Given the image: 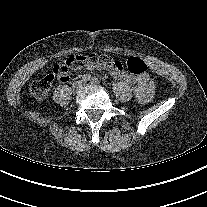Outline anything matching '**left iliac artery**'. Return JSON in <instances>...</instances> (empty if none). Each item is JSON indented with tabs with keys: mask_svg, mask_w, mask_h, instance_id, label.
<instances>
[{
	"mask_svg": "<svg viewBox=\"0 0 207 207\" xmlns=\"http://www.w3.org/2000/svg\"><path fill=\"white\" fill-rule=\"evenodd\" d=\"M98 82H99V80H98V78H96V77H93V78L91 79V83H92V84H98Z\"/></svg>",
	"mask_w": 207,
	"mask_h": 207,
	"instance_id": "obj_1",
	"label": "left iliac artery"
}]
</instances>
